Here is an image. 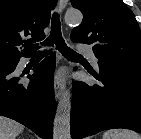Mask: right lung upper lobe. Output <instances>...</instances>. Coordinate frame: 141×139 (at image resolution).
<instances>
[{
    "label": "right lung upper lobe",
    "mask_w": 141,
    "mask_h": 139,
    "mask_svg": "<svg viewBox=\"0 0 141 139\" xmlns=\"http://www.w3.org/2000/svg\"><path fill=\"white\" fill-rule=\"evenodd\" d=\"M57 0H0V57L18 59L33 54L34 42L45 38ZM26 36L31 38L23 40ZM25 43L24 49L19 46Z\"/></svg>",
    "instance_id": "cb5924a9"
}]
</instances>
